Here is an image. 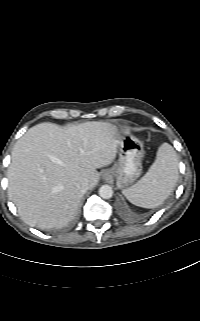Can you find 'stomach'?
Wrapping results in <instances>:
<instances>
[{"label":"stomach","instance_id":"0dacf381","mask_svg":"<svg viewBox=\"0 0 200 321\" xmlns=\"http://www.w3.org/2000/svg\"><path fill=\"white\" fill-rule=\"evenodd\" d=\"M119 135L117 162L105 172V177H114L116 185L125 189L142 174V160L145 154L142 142L129 131L117 129Z\"/></svg>","mask_w":200,"mask_h":321}]
</instances>
